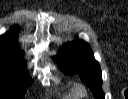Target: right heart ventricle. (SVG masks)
Instances as JSON below:
<instances>
[{"label":"right heart ventricle","mask_w":128,"mask_h":99,"mask_svg":"<svg viewBox=\"0 0 128 99\" xmlns=\"http://www.w3.org/2000/svg\"><path fill=\"white\" fill-rule=\"evenodd\" d=\"M70 97H77L79 94L77 93L76 87L72 88L71 92L68 94Z\"/></svg>","instance_id":"right-heart-ventricle-1"}]
</instances>
